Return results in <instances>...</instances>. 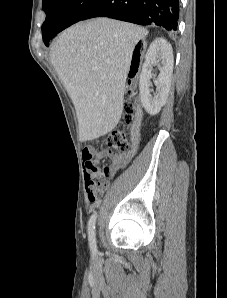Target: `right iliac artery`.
<instances>
[{"mask_svg": "<svg viewBox=\"0 0 227 298\" xmlns=\"http://www.w3.org/2000/svg\"><path fill=\"white\" fill-rule=\"evenodd\" d=\"M97 214L94 213L88 222V239L92 252L96 253V237H95V223H96Z\"/></svg>", "mask_w": 227, "mask_h": 298, "instance_id": "obj_1", "label": "right iliac artery"}]
</instances>
